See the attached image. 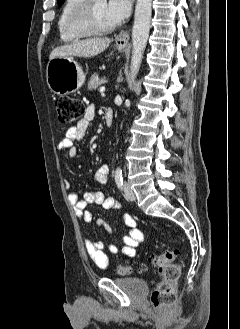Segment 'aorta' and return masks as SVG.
Instances as JSON below:
<instances>
[{
	"mask_svg": "<svg viewBox=\"0 0 240 329\" xmlns=\"http://www.w3.org/2000/svg\"><path fill=\"white\" fill-rule=\"evenodd\" d=\"M152 0H137L132 29L131 76L129 86L139 71L150 31Z\"/></svg>",
	"mask_w": 240,
	"mask_h": 329,
	"instance_id": "762f6f07",
	"label": "aorta"
}]
</instances>
